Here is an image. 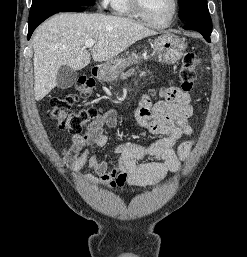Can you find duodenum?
Segmentation results:
<instances>
[{
    "instance_id": "410a0bca",
    "label": "duodenum",
    "mask_w": 247,
    "mask_h": 257,
    "mask_svg": "<svg viewBox=\"0 0 247 257\" xmlns=\"http://www.w3.org/2000/svg\"><path fill=\"white\" fill-rule=\"evenodd\" d=\"M93 75H94L95 77H99V76H100V70H99L97 67H95V68L93 69Z\"/></svg>"
}]
</instances>
